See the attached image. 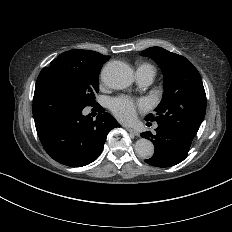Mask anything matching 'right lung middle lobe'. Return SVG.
Instances as JSON below:
<instances>
[{
	"label": "right lung middle lobe",
	"instance_id": "dd1d6c3e",
	"mask_svg": "<svg viewBox=\"0 0 232 232\" xmlns=\"http://www.w3.org/2000/svg\"><path fill=\"white\" fill-rule=\"evenodd\" d=\"M101 68L81 62H67L57 57L50 66L42 69L36 83L56 86L83 107L97 106L95 93L99 91Z\"/></svg>",
	"mask_w": 232,
	"mask_h": 232
}]
</instances>
